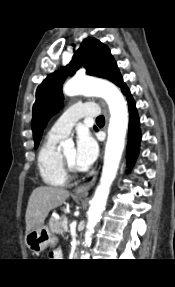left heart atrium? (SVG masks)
<instances>
[{"instance_id":"left-heart-atrium-1","label":"left heart atrium","mask_w":175,"mask_h":287,"mask_svg":"<svg viewBox=\"0 0 175 287\" xmlns=\"http://www.w3.org/2000/svg\"><path fill=\"white\" fill-rule=\"evenodd\" d=\"M76 164L79 169H87L98 156V145L91 133L85 129L79 131L76 141Z\"/></svg>"}]
</instances>
